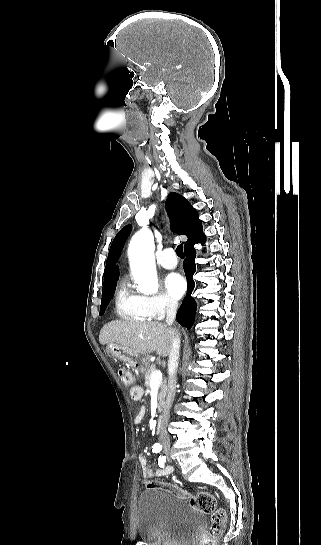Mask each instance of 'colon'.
Segmentation results:
<instances>
[{"mask_svg":"<svg viewBox=\"0 0 321 545\" xmlns=\"http://www.w3.org/2000/svg\"><path fill=\"white\" fill-rule=\"evenodd\" d=\"M118 374L125 386L132 384V375L128 368L120 366ZM148 487L164 489L176 497L186 496V493L181 488L169 483L149 482ZM190 503L195 509L211 516V525L201 545H214L224 531L226 522L225 510L217 507L215 497L209 492H199L192 495Z\"/></svg>","mask_w":321,"mask_h":545,"instance_id":"1","label":"colon"}]
</instances>
